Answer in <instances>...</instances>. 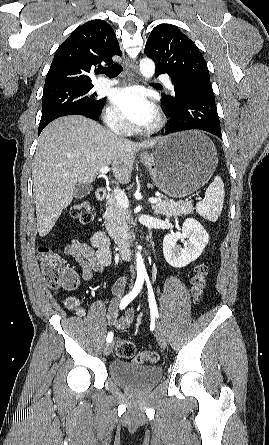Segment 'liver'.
I'll return each mask as SVG.
<instances>
[{
  "instance_id": "6515ba94",
  "label": "liver",
  "mask_w": 269,
  "mask_h": 445,
  "mask_svg": "<svg viewBox=\"0 0 269 445\" xmlns=\"http://www.w3.org/2000/svg\"><path fill=\"white\" fill-rule=\"evenodd\" d=\"M165 138L133 143L83 116H66L40 134L32 169L37 228L41 237L54 227L74 197L77 184H89L103 166L112 164L120 183H128L135 155Z\"/></svg>"
}]
</instances>
